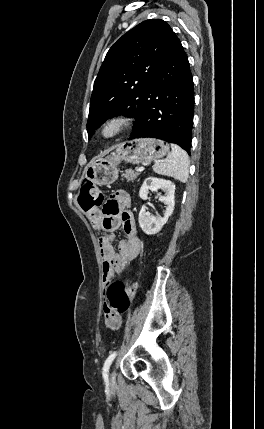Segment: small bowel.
Listing matches in <instances>:
<instances>
[{"instance_id": "obj_1", "label": "small bowel", "mask_w": 264, "mask_h": 429, "mask_svg": "<svg viewBox=\"0 0 264 429\" xmlns=\"http://www.w3.org/2000/svg\"><path fill=\"white\" fill-rule=\"evenodd\" d=\"M130 195L125 190L115 191L102 208L86 212L90 222L106 234L99 239V248L103 265V283L111 281L115 273H121L124 266L137 257L141 242L137 235L135 219L128 209ZM122 227L126 237L120 240L118 251L114 249V232ZM105 325L111 330L121 326V315L107 310L104 306Z\"/></svg>"}]
</instances>
